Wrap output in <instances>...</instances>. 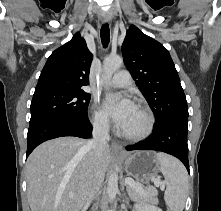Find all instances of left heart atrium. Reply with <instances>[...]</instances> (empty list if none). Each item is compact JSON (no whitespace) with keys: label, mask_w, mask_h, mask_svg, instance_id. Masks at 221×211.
<instances>
[{"label":"left heart atrium","mask_w":221,"mask_h":211,"mask_svg":"<svg viewBox=\"0 0 221 211\" xmlns=\"http://www.w3.org/2000/svg\"><path fill=\"white\" fill-rule=\"evenodd\" d=\"M103 105L114 124L121 129L135 106L127 96L112 94L106 96Z\"/></svg>","instance_id":"obj_1"}]
</instances>
